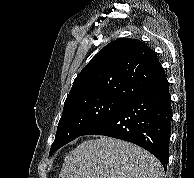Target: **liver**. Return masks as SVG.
I'll return each mask as SVG.
<instances>
[{"label":"liver","mask_w":194,"mask_h":178,"mask_svg":"<svg viewBox=\"0 0 194 178\" xmlns=\"http://www.w3.org/2000/svg\"><path fill=\"white\" fill-rule=\"evenodd\" d=\"M59 178H163V167L141 147L101 136L70 151Z\"/></svg>","instance_id":"obj_1"}]
</instances>
